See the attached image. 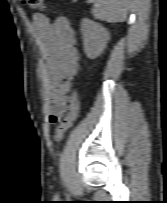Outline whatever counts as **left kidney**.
Masks as SVG:
<instances>
[{
    "label": "left kidney",
    "instance_id": "obj_1",
    "mask_svg": "<svg viewBox=\"0 0 167 203\" xmlns=\"http://www.w3.org/2000/svg\"><path fill=\"white\" fill-rule=\"evenodd\" d=\"M83 47L86 56L90 59L99 57L110 39L109 32L89 19H83L81 24Z\"/></svg>",
    "mask_w": 167,
    "mask_h": 203
}]
</instances>
